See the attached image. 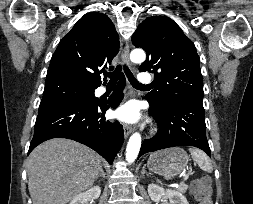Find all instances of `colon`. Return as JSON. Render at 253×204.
I'll return each mask as SVG.
<instances>
[{"instance_id": "colon-1", "label": "colon", "mask_w": 253, "mask_h": 204, "mask_svg": "<svg viewBox=\"0 0 253 204\" xmlns=\"http://www.w3.org/2000/svg\"><path fill=\"white\" fill-rule=\"evenodd\" d=\"M191 191L195 195L199 204H213L209 180L204 178L195 181L191 185Z\"/></svg>"}]
</instances>
